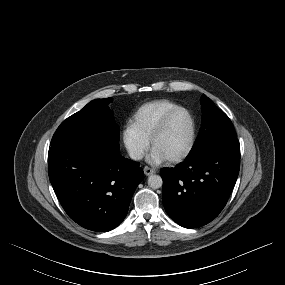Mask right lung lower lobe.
<instances>
[{
    "label": "right lung lower lobe",
    "mask_w": 285,
    "mask_h": 285,
    "mask_svg": "<svg viewBox=\"0 0 285 285\" xmlns=\"http://www.w3.org/2000/svg\"><path fill=\"white\" fill-rule=\"evenodd\" d=\"M48 174L69 217L97 232L110 231L124 220L144 176L139 163L118 150L83 142L50 147Z\"/></svg>",
    "instance_id": "1"
}]
</instances>
